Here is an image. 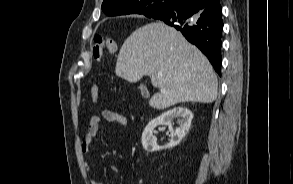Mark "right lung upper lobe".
I'll list each match as a JSON object with an SVG mask.
<instances>
[{"label":"right lung upper lobe","mask_w":293,"mask_h":184,"mask_svg":"<svg viewBox=\"0 0 293 184\" xmlns=\"http://www.w3.org/2000/svg\"><path fill=\"white\" fill-rule=\"evenodd\" d=\"M159 1H165L166 6L164 9L176 2V0H104L102 4V10L107 16L143 14L149 18H153L154 16L149 15V8L152 6V4ZM198 1H202V3H204V7H207L219 0Z\"/></svg>","instance_id":"obj_1"}]
</instances>
